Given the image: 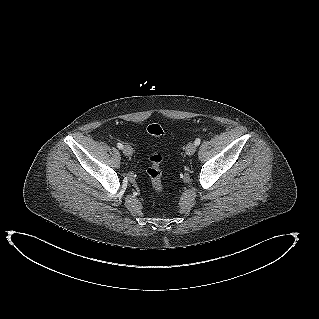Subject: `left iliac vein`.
Here are the masks:
<instances>
[{"mask_svg":"<svg viewBox=\"0 0 319 319\" xmlns=\"http://www.w3.org/2000/svg\"><path fill=\"white\" fill-rule=\"evenodd\" d=\"M195 151H196V145H195V143H192V142L188 143V144H187V147H186V153H187V155H192V154L195 153Z\"/></svg>","mask_w":319,"mask_h":319,"instance_id":"left-iliac-vein-1","label":"left iliac vein"}]
</instances>
